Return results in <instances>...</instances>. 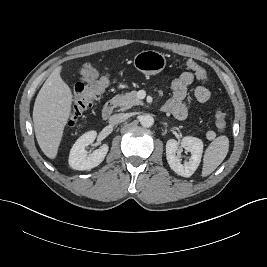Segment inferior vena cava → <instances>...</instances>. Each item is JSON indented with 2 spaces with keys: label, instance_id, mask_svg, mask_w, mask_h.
Segmentation results:
<instances>
[{
  "label": "inferior vena cava",
  "instance_id": "1",
  "mask_svg": "<svg viewBox=\"0 0 267 267\" xmlns=\"http://www.w3.org/2000/svg\"><path fill=\"white\" fill-rule=\"evenodd\" d=\"M127 119V115L124 113L114 114L110 117L109 123L112 125L124 122Z\"/></svg>",
  "mask_w": 267,
  "mask_h": 267
}]
</instances>
